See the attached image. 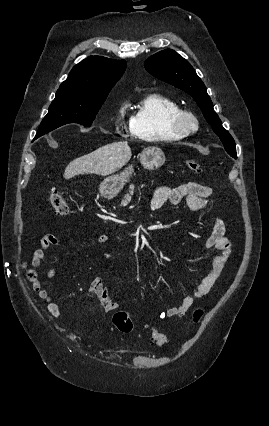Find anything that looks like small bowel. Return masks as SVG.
I'll return each mask as SVG.
<instances>
[{
  "mask_svg": "<svg viewBox=\"0 0 269 426\" xmlns=\"http://www.w3.org/2000/svg\"><path fill=\"white\" fill-rule=\"evenodd\" d=\"M213 194L212 188L197 182H186L177 187L161 186L154 192L151 207L160 209L166 202L178 204L184 200L187 207L192 211H203L208 208L209 200ZM226 227L222 220L215 219L212 231L204 243V248H212L215 251L211 259L209 270L200 279L194 293L186 296L178 305L170 307L160 314L161 319L181 317L192 307L194 302L207 295L218 279L221 277L225 265L231 254V243L225 235ZM97 243L104 244L109 241L107 234H100ZM58 246V239L53 235L44 236L39 247L34 251L32 266L38 268L45 259L46 252ZM56 274L55 269L50 268L47 272L48 278L52 279ZM32 289L39 298L46 302V310L53 316L61 314L60 307L54 302L52 296L43 287L41 281L35 278L31 282ZM91 290L99 298L105 313H109L118 308L119 304L112 300L108 285L104 277H96L91 281Z\"/></svg>",
  "mask_w": 269,
  "mask_h": 426,
  "instance_id": "c3829d8e",
  "label": "small bowel"
}]
</instances>
